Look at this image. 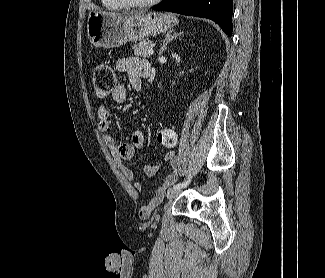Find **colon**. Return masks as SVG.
I'll return each instance as SVG.
<instances>
[{
	"mask_svg": "<svg viewBox=\"0 0 325 278\" xmlns=\"http://www.w3.org/2000/svg\"><path fill=\"white\" fill-rule=\"evenodd\" d=\"M116 85V76L113 68L105 63H100L95 67L93 75V88L96 95L100 98L107 97ZM158 142L166 147L173 148L176 145V138L174 131L167 128L164 133L162 130L157 135Z\"/></svg>",
	"mask_w": 325,
	"mask_h": 278,
	"instance_id": "colon-1",
	"label": "colon"
}]
</instances>
